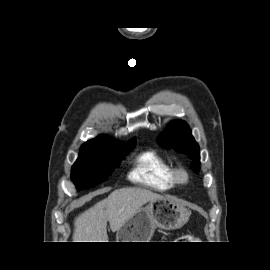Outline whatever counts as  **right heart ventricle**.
I'll list each match as a JSON object with an SVG mask.
<instances>
[{
  "instance_id": "right-heart-ventricle-1",
  "label": "right heart ventricle",
  "mask_w": 270,
  "mask_h": 270,
  "mask_svg": "<svg viewBox=\"0 0 270 270\" xmlns=\"http://www.w3.org/2000/svg\"><path fill=\"white\" fill-rule=\"evenodd\" d=\"M173 166L161 154L148 150L137 156L129 179L155 191H168L175 187Z\"/></svg>"
}]
</instances>
